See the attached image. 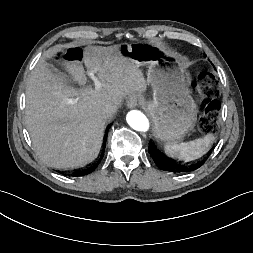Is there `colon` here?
<instances>
[{
  "instance_id": "5ec220e1",
  "label": "colon",
  "mask_w": 253,
  "mask_h": 253,
  "mask_svg": "<svg viewBox=\"0 0 253 253\" xmlns=\"http://www.w3.org/2000/svg\"><path fill=\"white\" fill-rule=\"evenodd\" d=\"M60 58L69 61L82 59L80 48H70L60 53ZM196 88L204 99L203 114L199 120V129L204 134L214 133L217 129V122L220 112V104L217 100L219 95L218 85L212 74L203 72L197 77Z\"/></svg>"
}]
</instances>
